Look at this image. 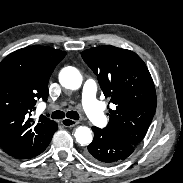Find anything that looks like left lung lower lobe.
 <instances>
[{"mask_svg": "<svg viewBox=\"0 0 183 183\" xmlns=\"http://www.w3.org/2000/svg\"><path fill=\"white\" fill-rule=\"evenodd\" d=\"M94 139L85 154L88 159L102 165L114 164L132 154L136 145L107 132L105 129L92 127Z\"/></svg>", "mask_w": 183, "mask_h": 183, "instance_id": "left-lung-lower-lobe-1", "label": "left lung lower lobe"}]
</instances>
